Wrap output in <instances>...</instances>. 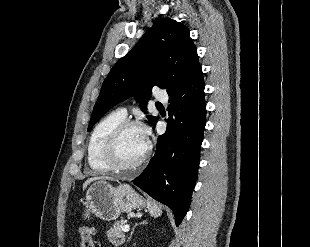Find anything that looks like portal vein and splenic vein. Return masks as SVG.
<instances>
[{"mask_svg": "<svg viewBox=\"0 0 310 247\" xmlns=\"http://www.w3.org/2000/svg\"><path fill=\"white\" fill-rule=\"evenodd\" d=\"M129 225H124L123 227H122V231H124V232H128L129 231Z\"/></svg>", "mask_w": 310, "mask_h": 247, "instance_id": "1", "label": "portal vein and splenic vein"}]
</instances>
